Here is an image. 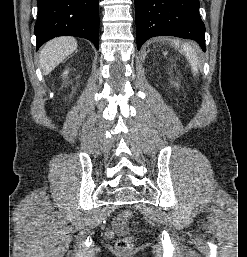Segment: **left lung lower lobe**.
Returning a JSON list of instances; mask_svg holds the SVG:
<instances>
[{
    "label": "left lung lower lobe",
    "instance_id": "0a47b994",
    "mask_svg": "<svg viewBox=\"0 0 247 257\" xmlns=\"http://www.w3.org/2000/svg\"><path fill=\"white\" fill-rule=\"evenodd\" d=\"M135 13L138 50L151 37L176 36L195 40L206 51L199 0H135Z\"/></svg>",
    "mask_w": 247,
    "mask_h": 257
}]
</instances>
